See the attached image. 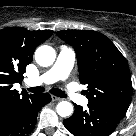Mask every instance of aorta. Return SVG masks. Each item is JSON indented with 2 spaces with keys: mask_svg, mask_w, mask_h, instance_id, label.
Listing matches in <instances>:
<instances>
[{
  "mask_svg": "<svg viewBox=\"0 0 136 136\" xmlns=\"http://www.w3.org/2000/svg\"><path fill=\"white\" fill-rule=\"evenodd\" d=\"M56 53L55 50L48 45L40 46L35 51L36 62L43 67L52 65L55 61ZM56 111L59 116L67 117L73 113V106L68 101H61L56 107Z\"/></svg>",
  "mask_w": 136,
  "mask_h": 136,
  "instance_id": "aorta-1",
  "label": "aorta"
}]
</instances>
